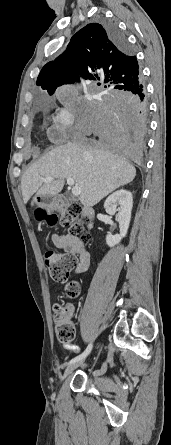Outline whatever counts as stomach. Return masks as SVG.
<instances>
[{
    "mask_svg": "<svg viewBox=\"0 0 171 445\" xmlns=\"http://www.w3.org/2000/svg\"><path fill=\"white\" fill-rule=\"evenodd\" d=\"M32 204L41 205L46 210L52 211L57 208L58 200L56 196L36 195L32 199Z\"/></svg>",
    "mask_w": 171,
    "mask_h": 445,
    "instance_id": "1",
    "label": "stomach"
}]
</instances>
